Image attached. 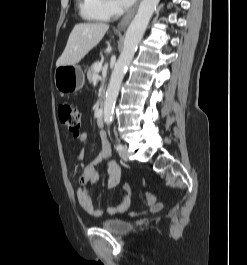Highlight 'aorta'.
<instances>
[{
  "mask_svg": "<svg viewBox=\"0 0 247 265\" xmlns=\"http://www.w3.org/2000/svg\"><path fill=\"white\" fill-rule=\"evenodd\" d=\"M160 0H142L138 11L130 23L124 40L123 50L115 64L104 102V121L110 124L113 117L116 98L127 67L131 63L139 42Z\"/></svg>",
  "mask_w": 247,
  "mask_h": 265,
  "instance_id": "aorta-1",
  "label": "aorta"
}]
</instances>
